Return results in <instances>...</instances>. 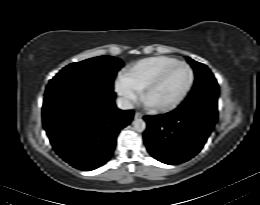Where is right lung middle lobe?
I'll use <instances>...</instances> for the list:
<instances>
[{"mask_svg":"<svg viewBox=\"0 0 260 205\" xmlns=\"http://www.w3.org/2000/svg\"><path fill=\"white\" fill-rule=\"evenodd\" d=\"M123 65V62L117 58L107 55L99 56L81 62L69 64L63 68L52 80H87L113 87L115 75Z\"/></svg>","mask_w":260,"mask_h":205,"instance_id":"dd1d6c3e","label":"right lung middle lobe"}]
</instances>
